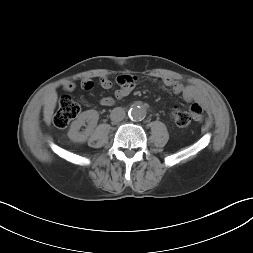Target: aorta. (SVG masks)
Masks as SVG:
<instances>
[{"label": "aorta", "instance_id": "obj_1", "mask_svg": "<svg viewBox=\"0 0 253 253\" xmlns=\"http://www.w3.org/2000/svg\"><path fill=\"white\" fill-rule=\"evenodd\" d=\"M129 117L134 121H141L146 116V110L139 105H134L128 112Z\"/></svg>", "mask_w": 253, "mask_h": 253}]
</instances>
